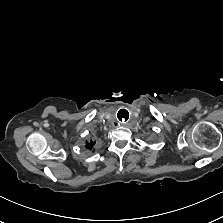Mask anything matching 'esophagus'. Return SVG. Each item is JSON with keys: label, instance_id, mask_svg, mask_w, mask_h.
<instances>
[{"label": "esophagus", "instance_id": "obj_1", "mask_svg": "<svg viewBox=\"0 0 223 223\" xmlns=\"http://www.w3.org/2000/svg\"><path fill=\"white\" fill-rule=\"evenodd\" d=\"M116 119L119 123L121 124H126L130 121L131 119V114L128 110L126 109H121L117 112L116 114Z\"/></svg>", "mask_w": 223, "mask_h": 223}]
</instances>
